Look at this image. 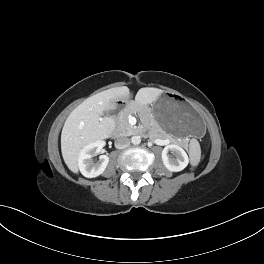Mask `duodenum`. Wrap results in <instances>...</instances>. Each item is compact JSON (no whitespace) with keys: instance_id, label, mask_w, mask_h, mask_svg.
<instances>
[{"instance_id":"duodenum-1","label":"duodenum","mask_w":264,"mask_h":264,"mask_svg":"<svg viewBox=\"0 0 264 264\" xmlns=\"http://www.w3.org/2000/svg\"><path fill=\"white\" fill-rule=\"evenodd\" d=\"M126 108H129V106H126ZM115 134H118L117 132H115Z\"/></svg>"}]
</instances>
